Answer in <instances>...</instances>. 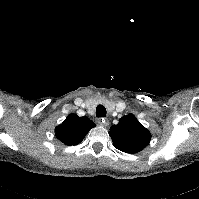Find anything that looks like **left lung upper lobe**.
<instances>
[{
    "mask_svg": "<svg viewBox=\"0 0 199 199\" xmlns=\"http://www.w3.org/2000/svg\"><path fill=\"white\" fill-rule=\"evenodd\" d=\"M114 146L126 153H136L147 146L151 139L150 132L135 118L128 114L121 119L117 125L110 127Z\"/></svg>",
    "mask_w": 199,
    "mask_h": 199,
    "instance_id": "5c2ea615",
    "label": "left lung upper lobe"
}]
</instances>
